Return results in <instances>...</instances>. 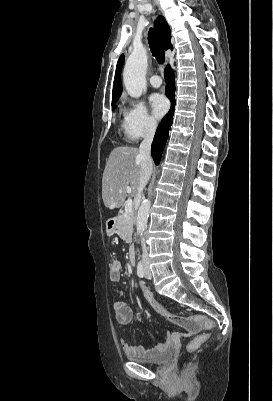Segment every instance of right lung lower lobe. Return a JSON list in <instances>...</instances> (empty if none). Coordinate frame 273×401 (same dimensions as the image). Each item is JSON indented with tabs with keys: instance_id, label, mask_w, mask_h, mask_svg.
I'll return each instance as SVG.
<instances>
[{
	"instance_id": "right-lung-lower-lobe-1",
	"label": "right lung lower lobe",
	"mask_w": 273,
	"mask_h": 401,
	"mask_svg": "<svg viewBox=\"0 0 273 401\" xmlns=\"http://www.w3.org/2000/svg\"><path fill=\"white\" fill-rule=\"evenodd\" d=\"M164 74L166 79V95L171 100L172 106L169 112L162 119L152 143L151 154L156 165L160 163L161 155L163 153L164 146L168 138L169 128L173 122L174 105H175L174 74L169 65H167Z\"/></svg>"
}]
</instances>
